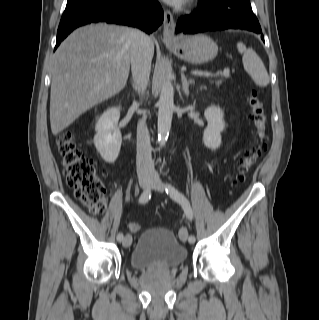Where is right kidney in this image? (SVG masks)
Masks as SVG:
<instances>
[{"mask_svg":"<svg viewBox=\"0 0 319 320\" xmlns=\"http://www.w3.org/2000/svg\"><path fill=\"white\" fill-rule=\"evenodd\" d=\"M120 106L108 108L96 123L94 144L101 157L107 163H113L118 158L122 137L118 128Z\"/></svg>","mask_w":319,"mask_h":320,"instance_id":"ca27d5eb","label":"right kidney"}]
</instances>
